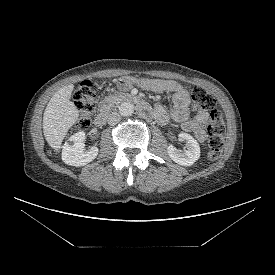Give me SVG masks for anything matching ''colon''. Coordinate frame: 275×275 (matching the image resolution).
<instances>
[{
  "mask_svg": "<svg viewBox=\"0 0 275 275\" xmlns=\"http://www.w3.org/2000/svg\"><path fill=\"white\" fill-rule=\"evenodd\" d=\"M73 100L79 111V127L87 128L97 110L93 84L90 81L83 82L74 92ZM215 105V100L202 88L193 89L192 109L195 112L210 110L207 125V156L211 160H215L221 155L225 135V123L221 112L215 108Z\"/></svg>",
  "mask_w": 275,
  "mask_h": 275,
  "instance_id": "obj_1",
  "label": "colon"
}]
</instances>
